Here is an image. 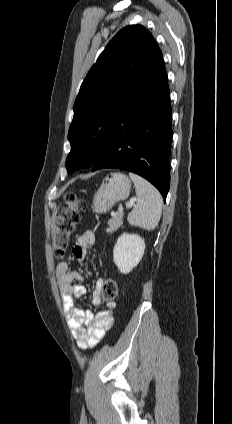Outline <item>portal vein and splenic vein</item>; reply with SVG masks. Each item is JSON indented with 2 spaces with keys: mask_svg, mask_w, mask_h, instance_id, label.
Masks as SVG:
<instances>
[{
  "mask_svg": "<svg viewBox=\"0 0 232 424\" xmlns=\"http://www.w3.org/2000/svg\"><path fill=\"white\" fill-rule=\"evenodd\" d=\"M136 201H137V199H136V198L131 199V200L127 203V207H128V208H131V207L134 205V203H135ZM123 209H124V208H123V206H122V205H120V206H119V208H118L119 212H123ZM111 215L113 216V215H115V213H112Z\"/></svg>",
  "mask_w": 232,
  "mask_h": 424,
  "instance_id": "18ae733b",
  "label": "portal vein and splenic vein"
}]
</instances>
